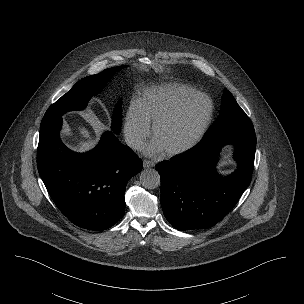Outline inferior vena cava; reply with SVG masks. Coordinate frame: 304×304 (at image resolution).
Wrapping results in <instances>:
<instances>
[{
	"label": "inferior vena cava",
	"instance_id": "inferior-vena-cava-1",
	"mask_svg": "<svg viewBox=\"0 0 304 304\" xmlns=\"http://www.w3.org/2000/svg\"><path fill=\"white\" fill-rule=\"evenodd\" d=\"M125 142L133 149H138L142 143L141 138L138 135L131 133L125 135Z\"/></svg>",
	"mask_w": 304,
	"mask_h": 304
}]
</instances>
